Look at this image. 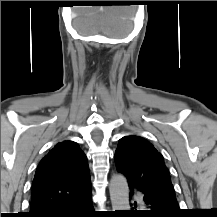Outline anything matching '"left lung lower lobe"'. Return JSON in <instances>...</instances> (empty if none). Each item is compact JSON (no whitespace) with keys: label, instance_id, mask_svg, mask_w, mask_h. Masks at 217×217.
Segmentation results:
<instances>
[{"label":"left lung lower lobe","instance_id":"left-lung-lower-lobe-1","mask_svg":"<svg viewBox=\"0 0 217 217\" xmlns=\"http://www.w3.org/2000/svg\"><path fill=\"white\" fill-rule=\"evenodd\" d=\"M133 195V192H131ZM143 200L148 210L129 212L130 215L149 216V217H178V210L172 209L171 206L160 199L151 196H144Z\"/></svg>","mask_w":217,"mask_h":217}]
</instances>
